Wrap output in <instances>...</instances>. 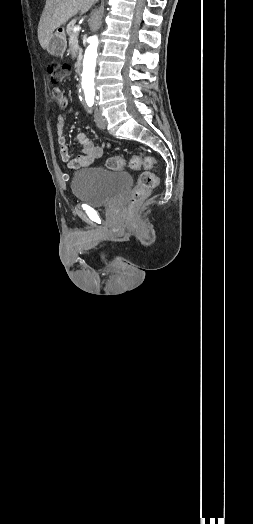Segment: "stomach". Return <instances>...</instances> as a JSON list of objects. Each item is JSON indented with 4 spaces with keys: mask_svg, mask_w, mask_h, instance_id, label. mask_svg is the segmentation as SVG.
<instances>
[{
    "mask_svg": "<svg viewBox=\"0 0 253 524\" xmlns=\"http://www.w3.org/2000/svg\"><path fill=\"white\" fill-rule=\"evenodd\" d=\"M67 47V40L65 31L62 28H58L55 33L52 34L47 51L49 54L55 57H62Z\"/></svg>",
    "mask_w": 253,
    "mask_h": 524,
    "instance_id": "1",
    "label": "stomach"
}]
</instances>
